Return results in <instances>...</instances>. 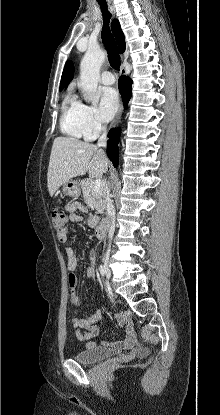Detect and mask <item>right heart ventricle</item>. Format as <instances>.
<instances>
[{
	"instance_id": "e07e8e85",
	"label": "right heart ventricle",
	"mask_w": 220,
	"mask_h": 415,
	"mask_svg": "<svg viewBox=\"0 0 220 415\" xmlns=\"http://www.w3.org/2000/svg\"><path fill=\"white\" fill-rule=\"evenodd\" d=\"M60 129L62 133L70 137L91 139L85 134L82 103L72 92L67 93L62 102Z\"/></svg>"
}]
</instances>
